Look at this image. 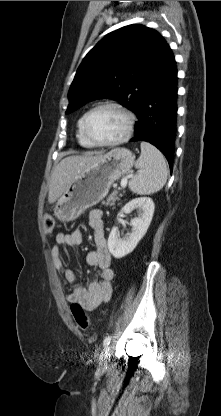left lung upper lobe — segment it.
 Returning a JSON list of instances; mask_svg holds the SVG:
<instances>
[{"label": "left lung upper lobe", "instance_id": "5c2ea615", "mask_svg": "<svg viewBox=\"0 0 221 416\" xmlns=\"http://www.w3.org/2000/svg\"><path fill=\"white\" fill-rule=\"evenodd\" d=\"M167 43L155 30L129 25L106 35L83 59L69 90L66 114L111 98L137 113Z\"/></svg>", "mask_w": 221, "mask_h": 416}]
</instances>
